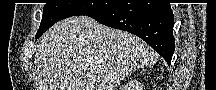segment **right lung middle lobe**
Returning a JSON list of instances; mask_svg holds the SVG:
<instances>
[{
    "label": "right lung middle lobe",
    "mask_w": 216,
    "mask_h": 90,
    "mask_svg": "<svg viewBox=\"0 0 216 90\" xmlns=\"http://www.w3.org/2000/svg\"><path fill=\"white\" fill-rule=\"evenodd\" d=\"M110 4H45L40 27L35 38H39L56 22L71 16L88 15L108 7Z\"/></svg>",
    "instance_id": "obj_1"
}]
</instances>
